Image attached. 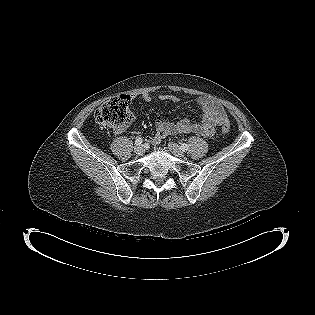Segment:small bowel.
Masks as SVG:
<instances>
[{"label":"small bowel","instance_id":"1","mask_svg":"<svg viewBox=\"0 0 315 315\" xmlns=\"http://www.w3.org/2000/svg\"><path fill=\"white\" fill-rule=\"evenodd\" d=\"M142 99L146 103H150L153 97L145 93ZM159 99L162 101L178 102L179 98L175 95L160 94ZM196 105L202 112V120L200 122H193L188 119L180 120L178 122H169L157 120L155 122L156 133L147 138L151 144H157L163 138L175 134H189L196 133L206 137H211L215 133L217 126L227 122L228 119L222 105L215 99L207 96H200L195 100ZM122 130H116L117 133Z\"/></svg>","mask_w":315,"mask_h":315}]
</instances>
